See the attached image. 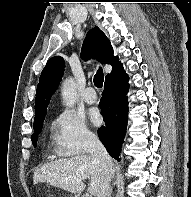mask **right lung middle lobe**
<instances>
[{"label": "right lung middle lobe", "instance_id": "dd1d6c3e", "mask_svg": "<svg viewBox=\"0 0 191 197\" xmlns=\"http://www.w3.org/2000/svg\"><path fill=\"white\" fill-rule=\"evenodd\" d=\"M42 124H43V121H41L40 123L34 125V132H35V134H33L31 136V140H32L33 145H36V141L38 139L37 134L40 132V130L42 128Z\"/></svg>", "mask_w": 191, "mask_h": 197}]
</instances>
